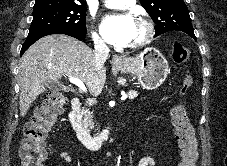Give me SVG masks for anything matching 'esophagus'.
I'll use <instances>...</instances> for the list:
<instances>
[{"label":"esophagus","instance_id":"obj_1","mask_svg":"<svg viewBox=\"0 0 227 166\" xmlns=\"http://www.w3.org/2000/svg\"><path fill=\"white\" fill-rule=\"evenodd\" d=\"M112 63H113L114 65L122 64V63H123V59H122L121 57L115 55V56H113V58H112Z\"/></svg>","mask_w":227,"mask_h":166}]
</instances>
